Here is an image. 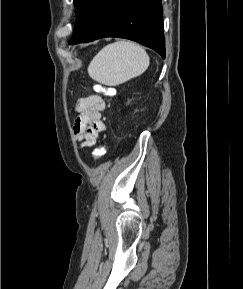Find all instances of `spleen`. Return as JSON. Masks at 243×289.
I'll return each instance as SVG.
<instances>
[{
  "label": "spleen",
  "instance_id": "spleen-1",
  "mask_svg": "<svg viewBox=\"0 0 243 289\" xmlns=\"http://www.w3.org/2000/svg\"><path fill=\"white\" fill-rule=\"evenodd\" d=\"M149 63V56L141 46L131 41H117L95 55L88 74L98 83L117 86L144 73Z\"/></svg>",
  "mask_w": 243,
  "mask_h": 289
}]
</instances>
